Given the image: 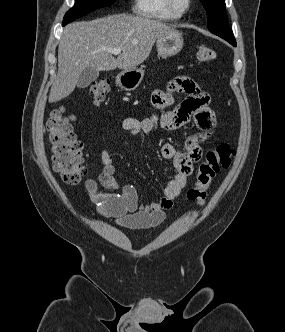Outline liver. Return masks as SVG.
Listing matches in <instances>:
<instances>
[{"mask_svg": "<svg viewBox=\"0 0 285 332\" xmlns=\"http://www.w3.org/2000/svg\"><path fill=\"white\" fill-rule=\"evenodd\" d=\"M172 30L158 20L125 14L70 23L59 43L58 73L49 103L69 96L87 68L97 71L136 68L147 59L155 41ZM105 48H122V53L115 58Z\"/></svg>", "mask_w": 285, "mask_h": 332, "instance_id": "1", "label": "liver"}]
</instances>
